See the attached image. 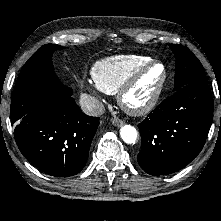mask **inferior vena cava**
I'll use <instances>...</instances> for the list:
<instances>
[{"instance_id": "602c4592", "label": "inferior vena cava", "mask_w": 221, "mask_h": 221, "mask_svg": "<svg viewBox=\"0 0 221 221\" xmlns=\"http://www.w3.org/2000/svg\"><path fill=\"white\" fill-rule=\"evenodd\" d=\"M80 106L83 112L92 116H99L105 111L103 103L88 94H82L80 96Z\"/></svg>"}]
</instances>
